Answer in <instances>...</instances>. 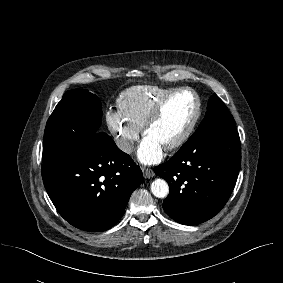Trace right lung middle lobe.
Returning a JSON list of instances; mask_svg holds the SVG:
<instances>
[{
    "mask_svg": "<svg viewBox=\"0 0 283 283\" xmlns=\"http://www.w3.org/2000/svg\"><path fill=\"white\" fill-rule=\"evenodd\" d=\"M102 106L88 90L67 91L48 119L43 140V165L58 160L74 147L92 144L101 125Z\"/></svg>",
    "mask_w": 283,
    "mask_h": 283,
    "instance_id": "obj_1",
    "label": "right lung middle lobe"
}]
</instances>
